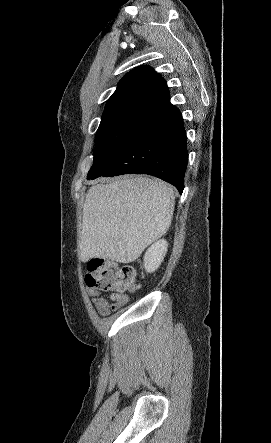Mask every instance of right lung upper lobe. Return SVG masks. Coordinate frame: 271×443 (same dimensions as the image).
I'll return each mask as SVG.
<instances>
[{
	"mask_svg": "<svg viewBox=\"0 0 271 443\" xmlns=\"http://www.w3.org/2000/svg\"><path fill=\"white\" fill-rule=\"evenodd\" d=\"M169 99L166 81L151 67L140 66L120 80L107 104L139 101L156 105Z\"/></svg>",
	"mask_w": 271,
	"mask_h": 443,
	"instance_id": "1",
	"label": "right lung upper lobe"
}]
</instances>
